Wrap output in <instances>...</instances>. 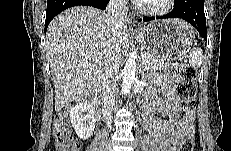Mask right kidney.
<instances>
[{"mask_svg":"<svg viewBox=\"0 0 231 151\" xmlns=\"http://www.w3.org/2000/svg\"><path fill=\"white\" fill-rule=\"evenodd\" d=\"M70 121L78 136L82 140L88 139L95 128V113L87 102H79L70 111Z\"/></svg>","mask_w":231,"mask_h":151,"instance_id":"obj_1","label":"right kidney"}]
</instances>
